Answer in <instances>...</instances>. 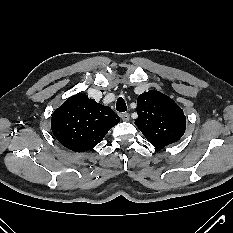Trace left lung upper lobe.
<instances>
[{
  "mask_svg": "<svg viewBox=\"0 0 233 233\" xmlns=\"http://www.w3.org/2000/svg\"><path fill=\"white\" fill-rule=\"evenodd\" d=\"M135 125L156 148L178 141L186 128L183 110L165 94L149 90L138 96Z\"/></svg>",
  "mask_w": 233,
  "mask_h": 233,
  "instance_id": "5c2ea615",
  "label": "left lung upper lobe"
}]
</instances>
